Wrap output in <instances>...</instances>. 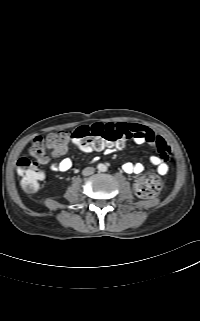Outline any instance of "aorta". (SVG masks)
Wrapping results in <instances>:
<instances>
[{"instance_id":"aorta-1","label":"aorta","mask_w":200,"mask_h":321,"mask_svg":"<svg viewBox=\"0 0 200 321\" xmlns=\"http://www.w3.org/2000/svg\"><path fill=\"white\" fill-rule=\"evenodd\" d=\"M97 168L100 172H105L107 170V167L104 164H99Z\"/></svg>"}]
</instances>
